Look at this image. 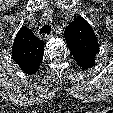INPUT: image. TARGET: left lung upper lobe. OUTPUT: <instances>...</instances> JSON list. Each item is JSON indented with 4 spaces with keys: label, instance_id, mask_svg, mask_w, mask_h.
<instances>
[{
    "label": "left lung upper lobe",
    "instance_id": "1",
    "mask_svg": "<svg viewBox=\"0 0 113 113\" xmlns=\"http://www.w3.org/2000/svg\"><path fill=\"white\" fill-rule=\"evenodd\" d=\"M64 37L79 66L83 69L93 67L99 46L89 23L83 17H77L65 29Z\"/></svg>",
    "mask_w": 113,
    "mask_h": 113
}]
</instances>
